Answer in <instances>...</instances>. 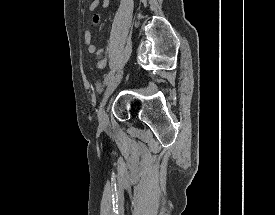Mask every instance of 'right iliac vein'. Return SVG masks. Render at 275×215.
I'll list each match as a JSON object with an SVG mask.
<instances>
[{"mask_svg":"<svg viewBox=\"0 0 275 215\" xmlns=\"http://www.w3.org/2000/svg\"><path fill=\"white\" fill-rule=\"evenodd\" d=\"M121 79H122V71H118L116 74L112 75V77L108 81L105 95L100 103L98 117H99L100 124L104 127L108 126V124H109V118H108V115L104 109L106 102H107L108 98L110 97V95L115 90V88L120 83Z\"/></svg>","mask_w":275,"mask_h":215,"instance_id":"obj_1","label":"right iliac vein"}]
</instances>
